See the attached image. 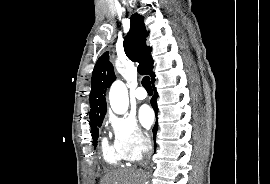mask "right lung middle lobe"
<instances>
[{
  "mask_svg": "<svg viewBox=\"0 0 270 184\" xmlns=\"http://www.w3.org/2000/svg\"><path fill=\"white\" fill-rule=\"evenodd\" d=\"M101 124H102V121L96 122L95 124L91 125V133H92L94 148L97 146V139H98V132H99L98 128L101 126Z\"/></svg>",
  "mask_w": 270,
  "mask_h": 184,
  "instance_id": "dd1d6c3e",
  "label": "right lung middle lobe"
}]
</instances>
